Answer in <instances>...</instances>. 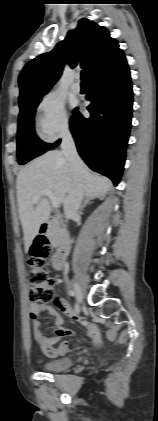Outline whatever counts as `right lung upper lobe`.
<instances>
[{
	"mask_svg": "<svg viewBox=\"0 0 158 421\" xmlns=\"http://www.w3.org/2000/svg\"><path fill=\"white\" fill-rule=\"evenodd\" d=\"M118 42L102 26L88 19L79 20L78 26L68 32L64 41L53 50L26 64L19 75V104L47 93L63 70L65 63L86 70L87 79L119 54Z\"/></svg>",
	"mask_w": 158,
	"mask_h": 421,
	"instance_id": "1",
	"label": "right lung upper lobe"
}]
</instances>
